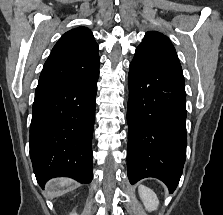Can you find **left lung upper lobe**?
<instances>
[{"label": "left lung upper lobe", "mask_w": 223, "mask_h": 215, "mask_svg": "<svg viewBox=\"0 0 223 215\" xmlns=\"http://www.w3.org/2000/svg\"><path fill=\"white\" fill-rule=\"evenodd\" d=\"M131 63L184 82L175 48L169 38L162 33L147 32L142 43L137 47Z\"/></svg>", "instance_id": "1"}]
</instances>
